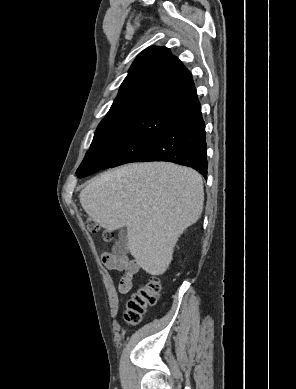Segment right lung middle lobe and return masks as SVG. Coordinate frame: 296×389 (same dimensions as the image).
<instances>
[{"instance_id":"dd1d6c3e","label":"right lung middle lobe","mask_w":296,"mask_h":389,"mask_svg":"<svg viewBox=\"0 0 296 389\" xmlns=\"http://www.w3.org/2000/svg\"><path fill=\"white\" fill-rule=\"evenodd\" d=\"M176 119L145 113L126 118H104L80 167L96 171L141 161L148 149Z\"/></svg>"}]
</instances>
